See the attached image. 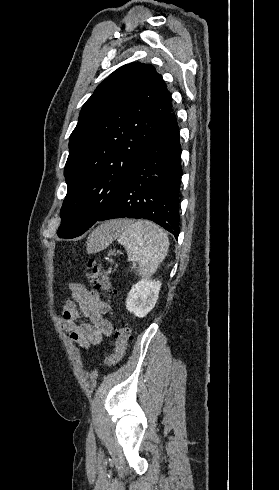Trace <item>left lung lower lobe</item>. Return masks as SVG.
Wrapping results in <instances>:
<instances>
[{"label":"left lung lower lobe","mask_w":279,"mask_h":490,"mask_svg":"<svg viewBox=\"0 0 279 490\" xmlns=\"http://www.w3.org/2000/svg\"><path fill=\"white\" fill-rule=\"evenodd\" d=\"M180 162L179 129L172 113L144 145L111 208L98 221L148 219L178 239Z\"/></svg>","instance_id":"obj_1"}]
</instances>
